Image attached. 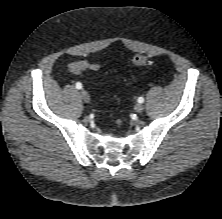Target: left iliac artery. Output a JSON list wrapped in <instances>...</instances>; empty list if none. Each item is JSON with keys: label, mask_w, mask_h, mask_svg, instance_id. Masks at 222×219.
Here are the masks:
<instances>
[{"label": "left iliac artery", "mask_w": 222, "mask_h": 219, "mask_svg": "<svg viewBox=\"0 0 222 219\" xmlns=\"http://www.w3.org/2000/svg\"><path fill=\"white\" fill-rule=\"evenodd\" d=\"M138 102H139V103H143V102H144V98H143V97H139V98H138Z\"/></svg>", "instance_id": "left-iliac-artery-1"}]
</instances>
